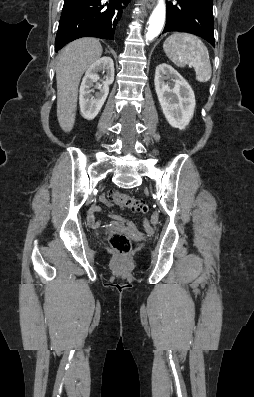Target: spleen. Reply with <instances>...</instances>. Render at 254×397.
Here are the masks:
<instances>
[{
  "label": "spleen",
  "instance_id": "1",
  "mask_svg": "<svg viewBox=\"0 0 254 397\" xmlns=\"http://www.w3.org/2000/svg\"><path fill=\"white\" fill-rule=\"evenodd\" d=\"M167 57L179 67L186 64L194 67L196 80L205 83L212 76L209 53L204 43L188 33H174L163 44Z\"/></svg>",
  "mask_w": 254,
  "mask_h": 397
}]
</instances>
